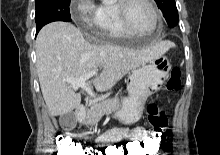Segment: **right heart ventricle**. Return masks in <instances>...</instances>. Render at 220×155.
I'll list each match as a JSON object with an SVG mask.
<instances>
[{
	"label": "right heart ventricle",
	"instance_id": "1",
	"mask_svg": "<svg viewBox=\"0 0 220 155\" xmlns=\"http://www.w3.org/2000/svg\"><path fill=\"white\" fill-rule=\"evenodd\" d=\"M117 3L101 4L99 8L100 28L98 35L107 40L128 38L131 34L124 28Z\"/></svg>",
	"mask_w": 220,
	"mask_h": 155
}]
</instances>
